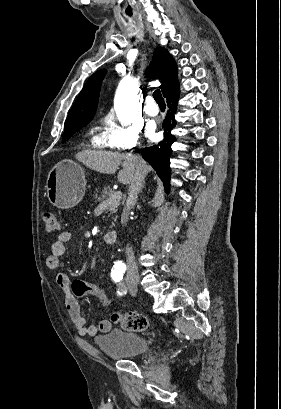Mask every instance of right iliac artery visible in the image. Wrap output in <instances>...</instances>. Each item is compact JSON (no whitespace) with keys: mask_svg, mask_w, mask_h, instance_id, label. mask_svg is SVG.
<instances>
[{"mask_svg":"<svg viewBox=\"0 0 281 409\" xmlns=\"http://www.w3.org/2000/svg\"><path fill=\"white\" fill-rule=\"evenodd\" d=\"M112 278H113V280L116 282V283H118L121 279H122V277L121 276H118V275H115V276H112ZM118 294L119 295H124V294H126V289H120V290H118Z\"/></svg>","mask_w":281,"mask_h":409,"instance_id":"1","label":"right iliac artery"}]
</instances>
